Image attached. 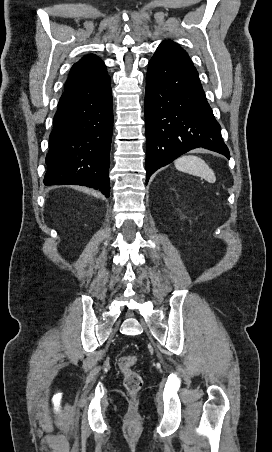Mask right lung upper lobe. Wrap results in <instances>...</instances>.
<instances>
[{"label":"right lung upper lobe","mask_w":272,"mask_h":452,"mask_svg":"<svg viewBox=\"0 0 272 452\" xmlns=\"http://www.w3.org/2000/svg\"><path fill=\"white\" fill-rule=\"evenodd\" d=\"M107 76L104 62L98 56L88 54L72 66L64 92L94 85Z\"/></svg>","instance_id":"right-lung-upper-lobe-1"}]
</instances>
